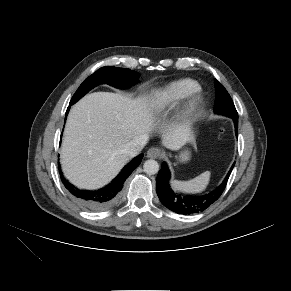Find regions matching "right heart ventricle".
Listing matches in <instances>:
<instances>
[{"mask_svg":"<svg viewBox=\"0 0 291 291\" xmlns=\"http://www.w3.org/2000/svg\"><path fill=\"white\" fill-rule=\"evenodd\" d=\"M199 88V83L190 78L173 81L156 93V107L159 110L173 108Z\"/></svg>","mask_w":291,"mask_h":291,"instance_id":"obj_1","label":"right heart ventricle"}]
</instances>
